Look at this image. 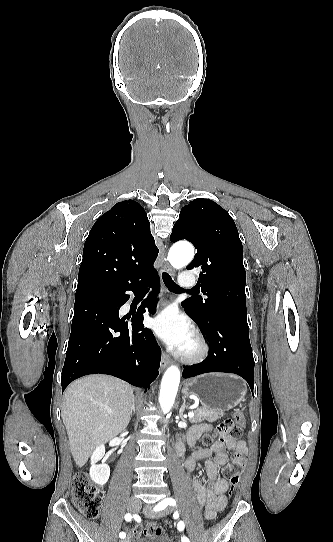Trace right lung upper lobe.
<instances>
[{
  "instance_id": "1",
  "label": "right lung upper lobe",
  "mask_w": 333,
  "mask_h": 542,
  "mask_svg": "<svg viewBox=\"0 0 333 542\" xmlns=\"http://www.w3.org/2000/svg\"><path fill=\"white\" fill-rule=\"evenodd\" d=\"M90 248L108 250L114 259L103 267L80 266L77 289L130 285L141 277L142 266L155 261L159 252L147 214L133 200L115 204L95 222L83 251Z\"/></svg>"
}]
</instances>
